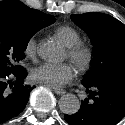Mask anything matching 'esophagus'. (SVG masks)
<instances>
[{
    "instance_id": "1",
    "label": "esophagus",
    "mask_w": 125,
    "mask_h": 125,
    "mask_svg": "<svg viewBox=\"0 0 125 125\" xmlns=\"http://www.w3.org/2000/svg\"><path fill=\"white\" fill-rule=\"evenodd\" d=\"M53 90L57 95H64L66 93L65 90L59 88H53Z\"/></svg>"
}]
</instances>
